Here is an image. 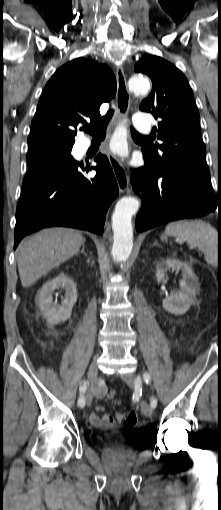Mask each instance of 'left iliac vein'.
I'll use <instances>...</instances> for the list:
<instances>
[{
	"mask_svg": "<svg viewBox=\"0 0 221 510\" xmlns=\"http://www.w3.org/2000/svg\"><path fill=\"white\" fill-rule=\"evenodd\" d=\"M121 378L128 385H134L136 379L135 374L132 372L121 374ZM141 411L145 416L148 417L152 416L153 414L152 407L146 401L141 402Z\"/></svg>",
	"mask_w": 221,
	"mask_h": 510,
	"instance_id": "obj_1",
	"label": "left iliac vein"
}]
</instances>
